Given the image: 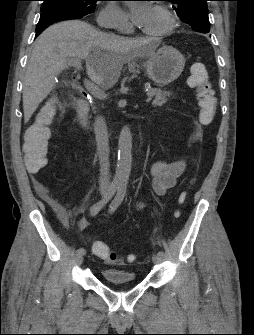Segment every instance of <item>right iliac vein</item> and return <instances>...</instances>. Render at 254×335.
<instances>
[{"mask_svg":"<svg viewBox=\"0 0 254 335\" xmlns=\"http://www.w3.org/2000/svg\"><path fill=\"white\" fill-rule=\"evenodd\" d=\"M83 260H84L83 255L80 254L75 255V263L77 265H81L83 263Z\"/></svg>","mask_w":254,"mask_h":335,"instance_id":"obj_1","label":"right iliac vein"}]
</instances>
